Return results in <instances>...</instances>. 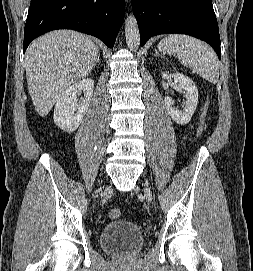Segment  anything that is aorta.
I'll return each mask as SVG.
<instances>
[{
  "mask_svg": "<svg viewBox=\"0 0 253 271\" xmlns=\"http://www.w3.org/2000/svg\"><path fill=\"white\" fill-rule=\"evenodd\" d=\"M125 37L128 48L131 51H136L140 45V33L137 20L133 14H130L126 18Z\"/></svg>",
  "mask_w": 253,
  "mask_h": 271,
  "instance_id": "obj_1",
  "label": "aorta"
}]
</instances>
